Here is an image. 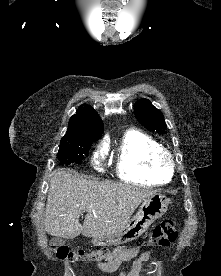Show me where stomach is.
<instances>
[{
    "mask_svg": "<svg viewBox=\"0 0 221 276\" xmlns=\"http://www.w3.org/2000/svg\"><path fill=\"white\" fill-rule=\"evenodd\" d=\"M169 205V199L160 194H155L145 199L137 214L118 232L102 239H93L96 246L120 245L139 238L147 231L152 222L160 218Z\"/></svg>",
    "mask_w": 221,
    "mask_h": 276,
    "instance_id": "obj_1",
    "label": "stomach"
}]
</instances>
